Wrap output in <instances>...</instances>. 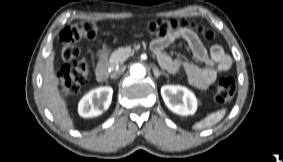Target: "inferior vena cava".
I'll list each match as a JSON object with an SVG mask.
<instances>
[{"label": "inferior vena cava", "mask_w": 283, "mask_h": 162, "mask_svg": "<svg viewBox=\"0 0 283 162\" xmlns=\"http://www.w3.org/2000/svg\"><path fill=\"white\" fill-rule=\"evenodd\" d=\"M122 73H123V70H119V71H117V72L111 74V78H112V79H116V78H118Z\"/></svg>", "instance_id": "inferior-vena-cava-1"}]
</instances>
